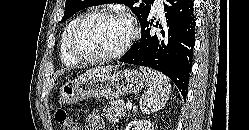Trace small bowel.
<instances>
[{
	"label": "small bowel",
	"instance_id": "obj_1",
	"mask_svg": "<svg viewBox=\"0 0 249 130\" xmlns=\"http://www.w3.org/2000/svg\"><path fill=\"white\" fill-rule=\"evenodd\" d=\"M104 121L98 111H92L85 120V130H103Z\"/></svg>",
	"mask_w": 249,
	"mask_h": 130
}]
</instances>
